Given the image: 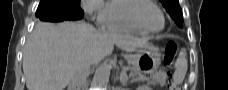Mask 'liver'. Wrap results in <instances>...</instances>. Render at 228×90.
<instances>
[{
    "mask_svg": "<svg viewBox=\"0 0 228 90\" xmlns=\"http://www.w3.org/2000/svg\"><path fill=\"white\" fill-rule=\"evenodd\" d=\"M149 38L106 33L85 22L57 25L39 22L26 40L23 72L28 90H64L82 63L97 65L114 45L127 52L143 48Z\"/></svg>",
    "mask_w": 228,
    "mask_h": 90,
    "instance_id": "obj_1",
    "label": "liver"
}]
</instances>
